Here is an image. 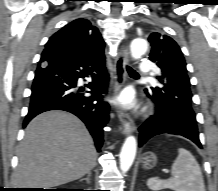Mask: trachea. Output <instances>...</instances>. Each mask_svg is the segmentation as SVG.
Wrapping results in <instances>:
<instances>
[{
    "mask_svg": "<svg viewBox=\"0 0 218 191\" xmlns=\"http://www.w3.org/2000/svg\"><path fill=\"white\" fill-rule=\"evenodd\" d=\"M126 69H127L128 73H129L131 76L139 77V75L137 74V72H136L135 70H133L131 67L126 66Z\"/></svg>",
    "mask_w": 218,
    "mask_h": 191,
    "instance_id": "obj_1",
    "label": "trachea"
}]
</instances>
